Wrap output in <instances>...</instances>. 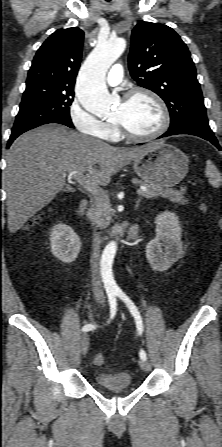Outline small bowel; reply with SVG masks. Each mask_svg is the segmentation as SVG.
<instances>
[{"label": "small bowel", "mask_w": 222, "mask_h": 447, "mask_svg": "<svg viewBox=\"0 0 222 447\" xmlns=\"http://www.w3.org/2000/svg\"><path fill=\"white\" fill-rule=\"evenodd\" d=\"M76 306H80V303L77 302V303H76Z\"/></svg>", "instance_id": "obj_1"}]
</instances>
